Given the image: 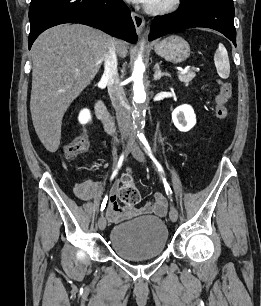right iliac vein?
<instances>
[{
	"mask_svg": "<svg viewBox=\"0 0 261 306\" xmlns=\"http://www.w3.org/2000/svg\"><path fill=\"white\" fill-rule=\"evenodd\" d=\"M98 227L101 231H103L106 227V218L102 215L98 220Z\"/></svg>",
	"mask_w": 261,
	"mask_h": 306,
	"instance_id": "right-iliac-vein-1",
	"label": "right iliac vein"
}]
</instances>
